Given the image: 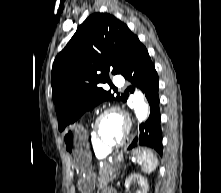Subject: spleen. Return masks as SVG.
I'll use <instances>...</instances> for the list:
<instances>
[{
  "mask_svg": "<svg viewBox=\"0 0 221 193\" xmlns=\"http://www.w3.org/2000/svg\"><path fill=\"white\" fill-rule=\"evenodd\" d=\"M134 154L136 155L143 172L149 174L156 169L158 160L151 150L146 149L145 146H140L139 149L134 151Z\"/></svg>",
  "mask_w": 221,
  "mask_h": 193,
  "instance_id": "obj_1",
  "label": "spleen"
}]
</instances>
